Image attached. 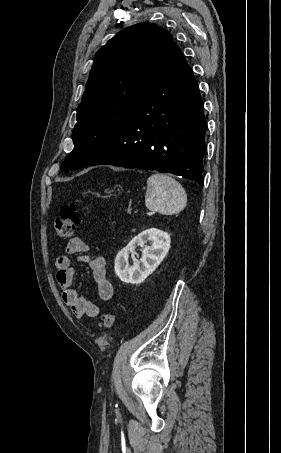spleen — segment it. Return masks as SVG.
I'll use <instances>...</instances> for the list:
<instances>
[{
    "label": "spleen",
    "instance_id": "obj_1",
    "mask_svg": "<svg viewBox=\"0 0 281 453\" xmlns=\"http://www.w3.org/2000/svg\"><path fill=\"white\" fill-rule=\"evenodd\" d=\"M145 202L149 210L161 214H177L186 206V192L172 176L151 174L147 180Z\"/></svg>",
    "mask_w": 281,
    "mask_h": 453
}]
</instances>
